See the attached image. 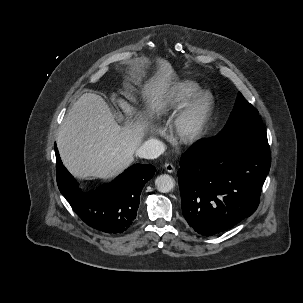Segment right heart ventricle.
<instances>
[{"instance_id":"right-heart-ventricle-1","label":"right heart ventricle","mask_w":303,"mask_h":303,"mask_svg":"<svg viewBox=\"0 0 303 303\" xmlns=\"http://www.w3.org/2000/svg\"><path fill=\"white\" fill-rule=\"evenodd\" d=\"M200 87L192 81H181L174 85L159 103V114L168 115L185 106L199 91Z\"/></svg>"}]
</instances>
